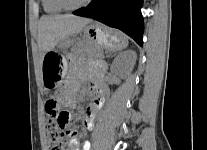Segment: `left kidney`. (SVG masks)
Returning <instances> with one entry per match:
<instances>
[{
	"instance_id": "5707ae66",
	"label": "left kidney",
	"mask_w": 207,
	"mask_h": 150,
	"mask_svg": "<svg viewBox=\"0 0 207 150\" xmlns=\"http://www.w3.org/2000/svg\"><path fill=\"white\" fill-rule=\"evenodd\" d=\"M136 61V53L132 50L123 52L117 56L111 66V71L115 74H121L120 67L125 66L132 69Z\"/></svg>"
}]
</instances>
